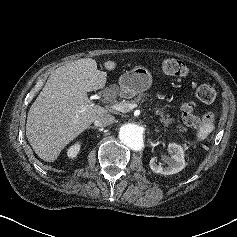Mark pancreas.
<instances>
[{
  "label": "pancreas",
  "mask_w": 237,
  "mask_h": 237,
  "mask_svg": "<svg viewBox=\"0 0 237 237\" xmlns=\"http://www.w3.org/2000/svg\"><path fill=\"white\" fill-rule=\"evenodd\" d=\"M142 100H143L142 95H139L135 97L134 99H132L131 101L122 102V103L135 104V103H139ZM157 113L160 115L159 120L164 126H168L169 124L173 123L174 118H171L169 114H164V108L158 109ZM177 128L179 129V131L186 130V128L182 127V125H178Z\"/></svg>",
  "instance_id": "1"
}]
</instances>
